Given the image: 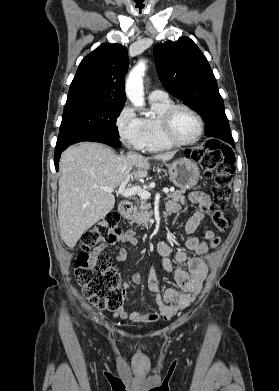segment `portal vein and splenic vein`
<instances>
[{
	"label": "portal vein and splenic vein",
	"instance_id": "1",
	"mask_svg": "<svg viewBox=\"0 0 279 391\" xmlns=\"http://www.w3.org/2000/svg\"><path fill=\"white\" fill-rule=\"evenodd\" d=\"M129 180H130V176H128L127 179L119 186V188L117 190L118 194H121L124 197H130V196L137 194L141 199H145V200L149 199L151 197L150 192L141 188L140 186H133V187L126 188V185L129 182ZM100 188L106 192H109V193L114 192L113 188H109V187H100ZM163 192L165 194H168L169 189L163 188Z\"/></svg>",
	"mask_w": 279,
	"mask_h": 391
}]
</instances>
